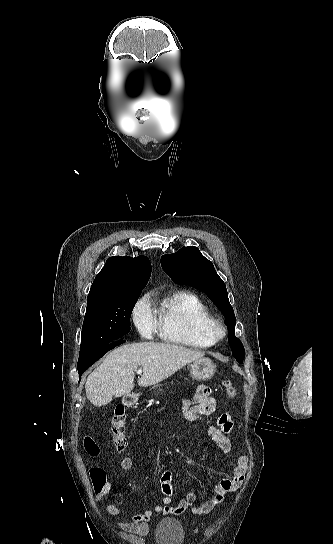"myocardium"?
Listing matches in <instances>:
<instances>
[{
  "instance_id": "myocardium-1",
  "label": "myocardium",
  "mask_w": 333,
  "mask_h": 544,
  "mask_svg": "<svg viewBox=\"0 0 333 544\" xmlns=\"http://www.w3.org/2000/svg\"><path fill=\"white\" fill-rule=\"evenodd\" d=\"M209 336L215 341H219L226 336L227 330L222 321L212 318L207 326Z\"/></svg>"
}]
</instances>
